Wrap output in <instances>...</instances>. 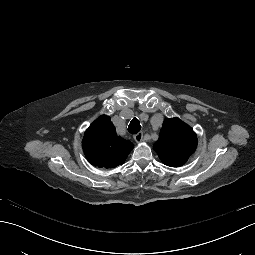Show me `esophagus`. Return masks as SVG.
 Instances as JSON below:
<instances>
[{
    "mask_svg": "<svg viewBox=\"0 0 255 255\" xmlns=\"http://www.w3.org/2000/svg\"><path fill=\"white\" fill-rule=\"evenodd\" d=\"M134 140L137 143H141L143 141V133L142 132H138L137 134L134 135Z\"/></svg>",
    "mask_w": 255,
    "mask_h": 255,
    "instance_id": "1",
    "label": "esophagus"
}]
</instances>
